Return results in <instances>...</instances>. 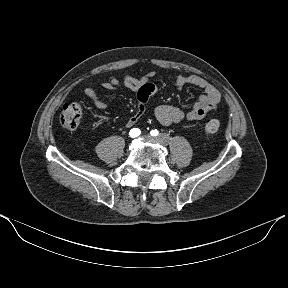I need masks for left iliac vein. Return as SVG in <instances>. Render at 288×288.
<instances>
[{
  "label": "left iliac vein",
  "instance_id": "4c4485c4",
  "mask_svg": "<svg viewBox=\"0 0 288 288\" xmlns=\"http://www.w3.org/2000/svg\"><path fill=\"white\" fill-rule=\"evenodd\" d=\"M147 138H151L149 135L146 136Z\"/></svg>",
  "mask_w": 288,
  "mask_h": 288
}]
</instances>
